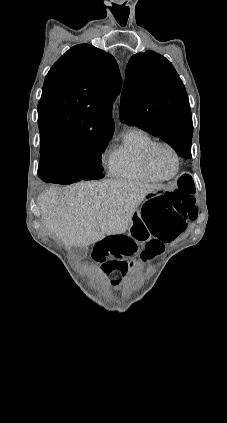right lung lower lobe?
<instances>
[{
    "label": "right lung lower lobe",
    "instance_id": "obj_1",
    "mask_svg": "<svg viewBox=\"0 0 227 423\" xmlns=\"http://www.w3.org/2000/svg\"><path fill=\"white\" fill-rule=\"evenodd\" d=\"M69 169L51 161H40L38 168L39 177L47 183L72 184L80 180L70 176Z\"/></svg>",
    "mask_w": 227,
    "mask_h": 423
}]
</instances>
